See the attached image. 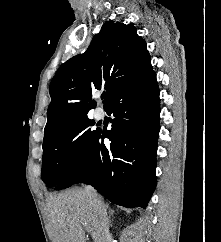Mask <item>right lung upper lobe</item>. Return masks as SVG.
I'll return each instance as SVG.
<instances>
[{
  "mask_svg": "<svg viewBox=\"0 0 221 242\" xmlns=\"http://www.w3.org/2000/svg\"><path fill=\"white\" fill-rule=\"evenodd\" d=\"M152 70L146 42L133 25L107 21L94 36L87 51L60 66L49 92L44 138L87 116L96 103L92 92L104 89L107 108L124 88Z\"/></svg>",
  "mask_w": 221,
  "mask_h": 242,
  "instance_id": "obj_1",
  "label": "right lung upper lobe"
}]
</instances>
